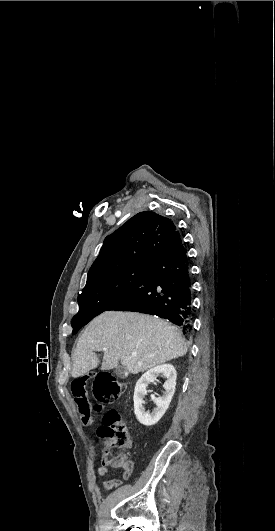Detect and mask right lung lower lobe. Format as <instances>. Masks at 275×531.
I'll use <instances>...</instances> for the list:
<instances>
[{"label":"right lung lower lobe","instance_id":"right-lung-lower-lobe-1","mask_svg":"<svg viewBox=\"0 0 275 531\" xmlns=\"http://www.w3.org/2000/svg\"><path fill=\"white\" fill-rule=\"evenodd\" d=\"M192 288L186 250L176 230L165 247L146 265L138 281L109 310L156 315L192 330Z\"/></svg>","mask_w":275,"mask_h":531}]
</instances>
